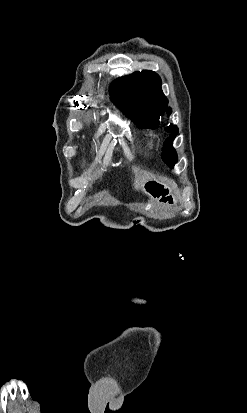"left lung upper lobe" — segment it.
Returning a JSON list of instances; mask_svg holds the SVG:
<instances>
[{
  "label": "left lung upper lobe",
  "instance_id": "left-lung-upper-lobe-1",
  "mask_svg": "<svg viewBox=\"0 0 247 413\" xmlns=\"http://www.w3.org/2000/svg\"><path fill=\"white\" fill-rule=\"evenodd\" d=\"M110 95L113 103L140 128L155 129L160 117L165 112L168 115L171 113L168 100L161 89V79L150 70L119 78L112 84ZM165 131L171 135L164 143L162 160L173 167L177 162V154L172 142L178 134V128L170 124Z\"/></svg>",
  "mask_w": 247,
  "mask_h": 413
}]
</instances>
